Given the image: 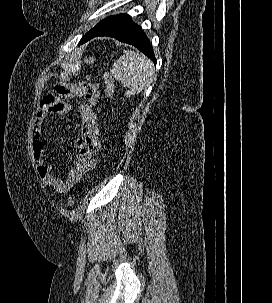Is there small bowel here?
I'll use <instances>...</instances> for the list:
<instances>
[{
    "instance_id": "1",
    "label": "small bowel",
    "mask_w": 272,
    "mask_h": 303,
    "mask_svg": "<svg viewBox=\"0 0 272 303\" xmlns=\"http://www.w3.org/2000/svg\"><path fill=\"white\" fill-rule=\"evenodd\" d=\"M84 98L88 104H78L80 130L74 142L76 153L68 160L69 168L64 175H57L45 154L44 121L51 115L66 114L71 110L70 102ZM100 99L98 84L84 81L76 84H57L46 93L35 115L32 133L33 158L43 184L58 193L68 192L85 174L94 168V155L100 148V122L92 109Z\"/></svg>"
}]
</instances>
